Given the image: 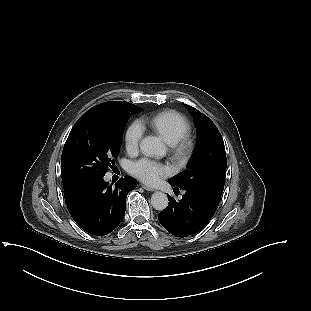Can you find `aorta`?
I'll list each match as a JSON object with an SVG mask.
<instances>
[{"label": "aorta", "mask_w": 311, "mask_h": 311, "mask_svg": "<svg viewBox=\"0 0 311 311\" xmlns=\"http://www.w3.org/2000/svg\"><path fill=\"white\" fill-rule=\"evenodd\" d=\"M144 155L150 157H162L166 153V146L160 138L155 136L145 137L140 144ZM151 205L154 209L162 211L168 206V197L164 192L155 191L151 196Z\"/></svg>", "instance_id": "1"}]
</instances>
